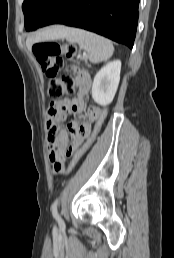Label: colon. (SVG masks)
I'll use <instances>...</instances> for the list:
<instances>
[{
    "label": "colon",
    "instance_id": "obj_1",
    "mask_svg": "<svg viewBox=\"0 0 174 258\" xmlns=\"http://www.w3.org/2000/svg\"><path fill=\"white\" fill-rule=\"evenodd\" d=\"M33 53L43 71L49 78L48 95L53 100L63 95H74L76 81L72 74L65 73L59 76L64 69V58L73 60L77 55L76 47L71 43L46 41L34 44ZM107 117V109H99L94 126L86 141L77 150L68 166V172H73L81 163L83 157L95 143Z\"/></svg>",
    "mask_w": 174,
    "mask_h": 258
}]
</instances>
